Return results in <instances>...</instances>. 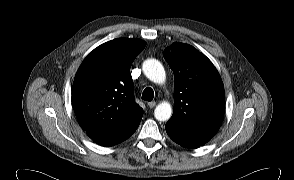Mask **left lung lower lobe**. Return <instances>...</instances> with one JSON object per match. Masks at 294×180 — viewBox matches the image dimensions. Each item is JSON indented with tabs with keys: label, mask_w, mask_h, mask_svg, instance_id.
I'll return each instance as SVG.
<instances>
[{
	"label": "left lung lower lobe",
	"mask_w": 294,
	"mask_h": 180,
	"mask_svg": "<svg viewBox=\"0 0 294 180\" xmlns=\"http://www.w3.org/2000/svg\"><path fill=\"white\" fill-rule=\"evenodd\" d=\"M165 129L169 137L177 144L186 148H198L207 143L216 133L217 129L189 130L168 121Z\"/></svg>",
	"instance_id": "1"
}]
</instances>
